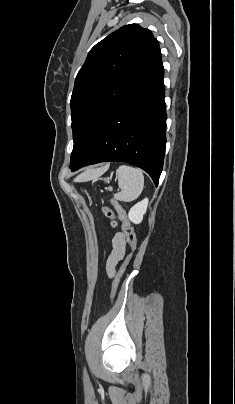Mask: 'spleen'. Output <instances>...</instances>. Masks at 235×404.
<instances>
[{"label": "spleen", "mask_w": 235, "mask_h": 404, "mask_svg": "<svg viewBox=\"0 0 235 404\" xmlns=\"http://www.w3.org/2000/svg\"><path fill=\"white\" fill-rule=\"evenodd\" d=\"M118 186L120 192L115 194V199L131 202L139 197L144 187L143 172L134 167L120 166L117 170Z\"/></svg>", "instance_id": "3e777b00"}]
</instances>
